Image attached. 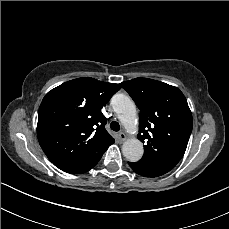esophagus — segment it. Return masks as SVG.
I'll return each mask as SVG.
<instances>
[{
	"label": "esophagus",
	"mask_w": 229,
	"mask_h": 229,
	"mask_svg": "<svg viewBox=\"0 0 229 229\" xmlns=\"http://www.w3.org/2000/svg\"><path fill=\"white\" fill-rule=\"evenodd\" d=\"M127 138V135L124 132L119 133V139L121 142L125 141Z\"/></svg>",
	"instance_id": "esophagus-1"
}]
</instances>
